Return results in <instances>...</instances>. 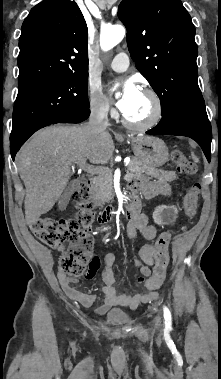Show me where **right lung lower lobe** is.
Returning a JSON list of instances; mask_svg holds the SVG:
<instances>
[{
  "label": "right lung lower lobe",
  "mask_w": 221,
  "mask_h": 379,
  "mask_svg": "<svg viewBox=\"0 0 221 379\" xmlns=\"http://www.w3.org/2000/svg\"><path fill=\"white\" fill-rule=\"evenodd\" d=\"M89 114H90V110L88 109V110L84 111L80 115L64 118V119L59 120V121H57L55 123H80V122L84 121L85 119H87L88 116H89ZM26 140L27 139H24V140H21V141H18V142H10V150H11V156H12L13 160L15 158L16 152L20 149V147L22 146V144Z\"/></svg>",
  "instance_id": "98d812e1"
}]
</instances>
